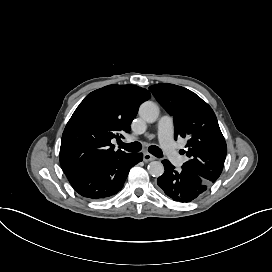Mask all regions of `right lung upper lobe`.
Segmentation results:
<instances>
[{"label":"right lung upper lobe","mask_w":272,"mask_h":272,"mask_svg":"<svg viewBox=\"0 0 272 272\" xmlns=\"http://www.w3.org/2000/svg\"><path fill=\"white\" fill-rule=\"evenodd\" d=\"M151 97L135 85H108L86 96L68 121L61 139L60 163L67 175L103 163L125 152L111 139L129 132L139 106Z\"/></svg>","instance_id":"right-lung-upper-lobe-1"}]
</instances>
